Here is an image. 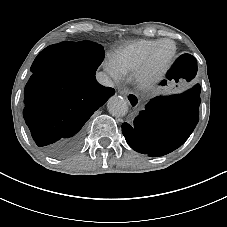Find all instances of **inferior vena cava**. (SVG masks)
<instances>
[{
  "instance_id": "602c4592",
  "label": "inferior vena cava",
  "mask_w": 227,
  "mask_h": 227,
  "mask_svg": "<svg viewBox=\"0 0 227 227\" xmlns=\"http://www.w3.org/2000/svg\"><path fill=\"white\" fill-rule=\"evenodd\" d=\"M96 80L99 84L106 87H113V82L111 79L103 72H99L96 74Z\"/></svg>"
}]
</instances>
